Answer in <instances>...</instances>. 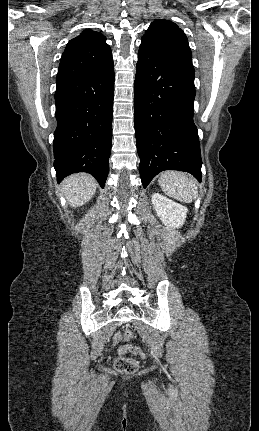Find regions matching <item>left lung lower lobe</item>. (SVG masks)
I'll return each mask as SVG.
<instances>
[{"instance_id": "0a47b994", "label": "left lung lower lobe", "mask_w": 259, "mask_h": 431, "mask_svg": "<svg viewBox=\"0 0 259 431\" xmlns=\"http://www.w3.org/2000/svg\"><path fill=\"white\" fill-rule=\"evenodd\" d=\"M192 64L142 42L134 87L135 134L145 188L163 170L191 173L201 181V154L193 121Z\"/></svg>"}]
</instances>
